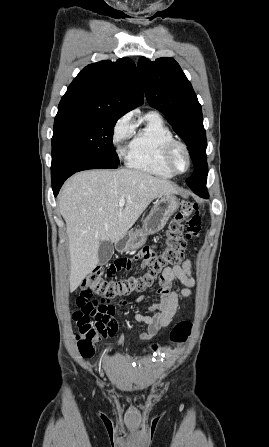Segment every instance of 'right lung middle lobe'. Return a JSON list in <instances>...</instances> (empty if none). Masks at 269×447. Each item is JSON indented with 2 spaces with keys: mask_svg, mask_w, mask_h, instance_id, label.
I'll use <instances>...</instances> for the list:
<instances>
[{
  "mask_svg": "<svg viewBox=\"0 0 269 447\" xmlns=\"http://www.w3.org/2000/svg\"><path fill=\"white\" fill-rule=\"evenodd\" d=\"M118 119L110 115H56L52 152L64 150L119 165L112 143Z\"/></svg>",
  "mask_w": 269,
  "mask_h": 447,
  "instance_id": "dd1d6c3e",
  "label": "right lung middle lobe"
}]
</instances>
